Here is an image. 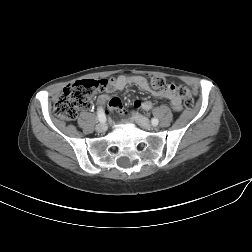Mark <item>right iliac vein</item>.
I'll use <instances>...</instances> for the list:
<instances>
[{
  "label": "right iliac vein",
  "mask_w": 252,
  "mask_h": 252,
  "mask_svg": "<svg viewBox=\"0 0 252 252\" xmlns=\"http://www.w3.org/2000/svg\"><path fill=\"white\" fill-rule=\"evenodd\" d=\"M107 129V124L105 123L104 125H101L100 123L96 126V131L97 132H104Z\"/></svg>",
  "instance_id": "right-iliac-vein-1"
}]
</instances>
